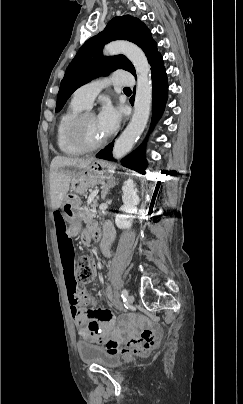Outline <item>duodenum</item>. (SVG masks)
Returning <instances> with one entry per match:
<instances>
[{"label":"duodenum","instance_id":"410a0bca","mask_svg":"<svg viewBox=\"0 0 243 404\" xmlns=\"http://www.w3.org/2000/svg\"><path fill=\"white\" fill-rule=\"evenodd\" d=\"M92 237H93V239L94 240H99L100 239V232L98 231V230H95L93 233H92Z\"/></svg>","mask_w":243,"mask_h":404}]
</instances>
